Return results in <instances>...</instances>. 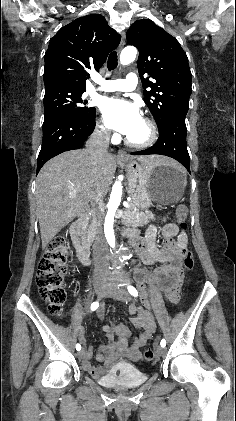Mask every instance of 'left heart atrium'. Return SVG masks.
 <instances>
[{
    "label": "left heart atrium",
    "mask_w": 236,
    "mask_h": 421,
    "mask_svg": "<svg viewBox=\"0 0 236 421\" xmlns=\"http://www.w3.org/2000/svg\"><path fill=\"white\" fill-rule=\"evenodd\" d=\"M108 124L116 131L130 135L143 120L141 113L128 101L109 98L103 103Z\"/></svg>",
    "instance_id": "1"
}]
</instances>
